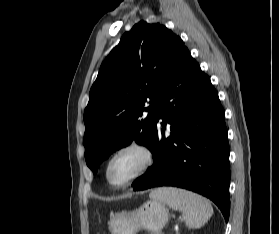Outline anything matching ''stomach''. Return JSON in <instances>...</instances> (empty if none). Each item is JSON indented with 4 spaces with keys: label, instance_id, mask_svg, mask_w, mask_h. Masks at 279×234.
<instances>
[{
    "label": "stomach",
    "instance_id": "stomach-1",
    "mask_svg": "<svg viewBox=\"0 0 279 234\" xmlns=\"http://www.w3.org/2000/svg\"><path fill=\"white\" fill-rule=\"evenodd\" d=\"M169 210L164 203L152 199L133 211H122L110 216L112 234H136L140 229L158 234L166 225Z\"/></svg>",
    "mask_w": 279,
    "mask_h": 234
}]
</instances>
